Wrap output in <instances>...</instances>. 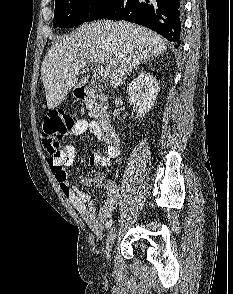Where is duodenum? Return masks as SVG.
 Returning <instances> with one entry per match:
<instances>
[{"label": "duodenum", "mask_w": 233, "mask_h": 294, "mask_svg": "<svg viewBox=\"0 0 233 294\" xmlns=\"http://www.w3.org/2000/svg\"><path fill=\"white\" fill-rule=\"evenodd\" d=\"M76 96L87 105H91L95 101V94L87 87H79L76 91ZM99 124L103 133L108 138L114 140L117 137L111 121L106 114H101L99 116Z\"/></svg>", "instance_id": "1"}]
</instances>
